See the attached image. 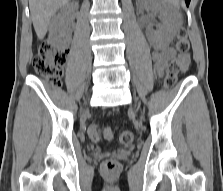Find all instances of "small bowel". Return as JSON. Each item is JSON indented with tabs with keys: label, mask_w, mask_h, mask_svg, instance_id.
Returning a JSON list of instances; mask_svg holds the SVG:
<instances>
[{
	"label": "small bowel",
	"mask_w": 223,
	"mask_h": 191,
	"mask_svg": "<svg viewBox=\"0 0 223 191\" xmlns=\"http://www.w3.org/2000/svg\"><path fill=\"white\" fill-rule=\"evenodd\" d=\"M177 55L174 48L171 47H164L160 48L157 47L153 54L152 59L154 63V68L157 73H162L165 69L167 63L170 59L174 58ZM179 60L181 64V69L185 71L188 68L189 62H190V56L189 54L185 55H179Z\"/></svg>",
	"instance_id": "small-bowel-1"
}]
</instances>
